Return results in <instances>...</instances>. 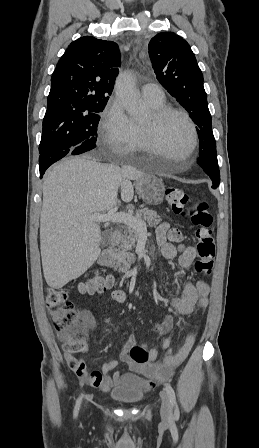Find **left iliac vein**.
Instances as JSON below:
<instances>
[{"label":"left iliac vein","mask_w":259,"mask_h":448,"mask_svg":"<svg viewBox=\"0 0 259 448\" xmlns=\"http://www.w3.org/2000/svg\"><path fill=\"white\" fill-rule=\"evenodd\" d=\"M161 399V417L163 421L168 422L171 417V407L169 399L165 393L161 394Z\"/></svg>","instance_id":"4c4485c4"}]
</instances>
